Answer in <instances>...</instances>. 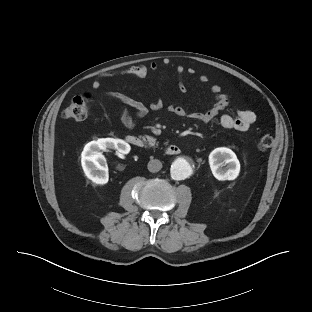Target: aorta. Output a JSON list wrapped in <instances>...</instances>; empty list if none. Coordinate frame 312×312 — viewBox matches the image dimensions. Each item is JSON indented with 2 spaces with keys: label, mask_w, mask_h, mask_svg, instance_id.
I'll return each instance as SVG.
<instances>
[{
  "label": "aorta",
  "mask_w": 312,
  "mask_h": 312,
  "mask_svg": "<svg viewBox=\"0 0 312 312\" xmlns=\"http://www.w3.org/2000/svg\"><path fill=\"white\" fill-rule=\"evenodd\" d=\"M192 173V165L184 158L176 159L171 165L170 174L174 180H183Z\"/></svg>",
  "instance_id": "1"
}]
</instances>
